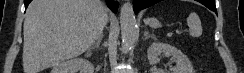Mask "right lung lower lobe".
Listing matches in <instances>:
<instances>
[{"mask_svg": "<svg viewBox=\"0 0 244 73\" xmlns=\"http://www.w3.org/2000/svg\"><path fill=\"white\" fill-rule=\"evenodd\" d=\"M32 0H24V4H25V8H27V6L29 5V3ZM109 7L111 8V10L115 13L117 11L118 8V2L117 1H113V0H107Z\"/></svg>", "mask_w": 244, "mask_h": 73, "instance_id": "98d812e1", "label": "right lung lower lobe"}]
</instances>
